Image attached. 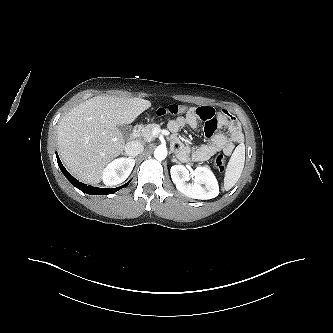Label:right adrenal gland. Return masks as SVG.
I'll use <instances>...</instances> for the list:
<instances>
[{"mask_svg":"<svg viewBox=\"0 0 333 333\" xmlns=\"http://www.w3.org/2000/svg\"><path fill=\"white\" fill-rule=\"evenodd\" d=\"M123 155H125V156H129V155H127L126 153H123ZM130 158H135V156H129Z\"/></svg>","mask_w":333,"mask_h":333,"instance_id":"obj_1","label":"right adrenal gland"}]
</instances>
